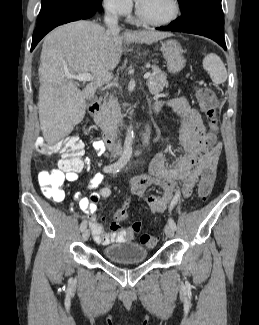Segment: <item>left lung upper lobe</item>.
<instances>
[{
	"label": "left lung upper lobe",
	"instance_id": "1",
	"mask_svg": "<svg viewBox=\"0 0 259 325\" xmlns=\"http://www.w3.org/2000/svg\"><path fill=\"white\" fill-rule=\"evenodd\" d=\"M193 1H196V0H178L179 2V5L181 7V12L182 14L187 12V10L189 9L191 3ZM209 1H212V2H216V3H220L221 4V0H209Z\"/></svg>",
	"mask_w": 259,
	"mask_h": 325
}]
</instances>
